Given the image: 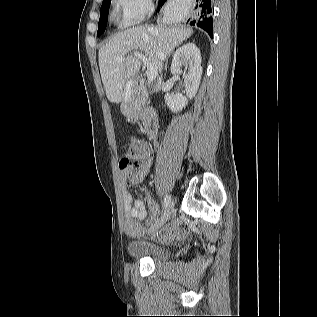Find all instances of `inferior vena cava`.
Listing matches in <instances>:
<instances>
[{"label":"inferior vena cava","instance_id":"1","mask_svg":"<svg viewBox=\"0 0 317 317\" xmlns=\"http://www.w3.org/2000/svg\"><path fill=\"white\" fill-rule=\"evenodd\" d=\"M153 11H154L153 8H151V9L149 10V16L153 13ZM159 56H160L161 60L164 59V54H163V53H160ZM161 82H162V77H160V78L158 79V88H160Z\"/></svg>","mask_w":317,"mask_h":317}]
</instances>
